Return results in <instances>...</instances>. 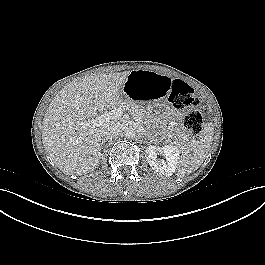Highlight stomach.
Here are the masks:
<instances>
[{"label":"stomach","mask_w":265,"mask_h":265,"mask_svg":"<svg viewBox=\"0 0 265 265\" xmlns=\"http://www.w3.org/2000/svg\"><path fill=\"white\" fill-rule=\"evenodd\" d=\"M171 79L166 75L146 70L132 71L123 87L126 98L135 99L140 114L155 118L164 113L168 105L167 91Z\"/></svg>","instance_id":"stomach-1"}]
</instances>
